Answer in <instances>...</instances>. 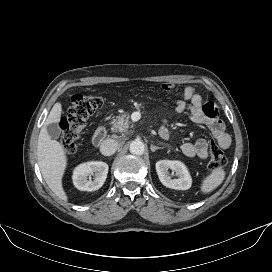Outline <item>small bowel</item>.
Instances as JSON below:
<instances>
[{"label":"small bowel","mask_w":272,"mask_h":272,"mask_svg":"<svg viewBox=\"0 0 272 272\" xmlns=\"http://www.w3.org/2000/svg\"><path fill=\"white\" fill-rule=\"evenodd\" d=\"M137 89H139V87L134 88V90ZM162 89L167 92L173 91L180 96V99L175 102L174 107L177 113H185L192 122L205 125L214 140H216L222 148L227 149L230 146V136L226 133L224 123L218 116L215 103H203L201 95L191 86L181 88L170 83H164ZM159 134L164 139L168 138L169 131L166 125L161 126ZM208 147L209 142L205 138H200L195 142L185 141L181 149L188 157L197 156L201 159H207Z\"/></svg>","instance_id":"obj_1"}]
</instances>
